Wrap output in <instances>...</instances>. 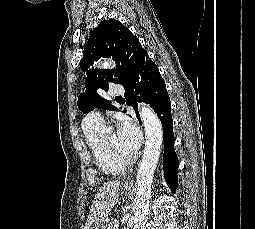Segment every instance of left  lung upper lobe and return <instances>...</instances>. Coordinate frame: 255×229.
Listing matches in <instances>:
<instances>
[{
	"instance_id": "obj_1",
	"label": "left lung upper lobe",
	"mask_w": 255,
	"mask_h": 229,
	"mask_svg": "<svg viewBox=\"0 0 255 229\" xmlns=\"http://www.w3.org/2000/svg\"><path fill=\"white\" fill-rule=\"evenodd\" d=\"M145 52L139 39L121 22L115 19L102 21L90 34L80 61V68L86 71V91L78 97V108L85 114L94 108L119 111L99 92L107 91L110 82L124 85ZM101 57H113L116 69L90 68Z\"/></svg>"
}]
</instances>
